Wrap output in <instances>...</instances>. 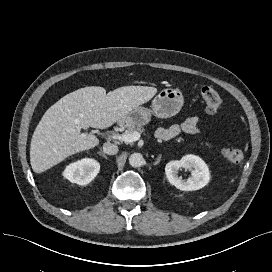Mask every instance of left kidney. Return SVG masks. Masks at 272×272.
Segmentation results:
<instances>
[{"instance_id":"1","label":"left kidney","mask_w":272,"mask_h":272,"mask_svg":"<svg viewBox=\"0 0 272 272\" xmlns=\"http://www.w3.org/2000/svg\"><path fill=\"white\" fill-rule=\"evenodd\" d=\"M180 168L189 169L192 177L182 179L178 176ZM165 174L170 184L183 191L199 190L206 186L210 180V173L206 163L198 156L188 154L181 160L170 161L165 166Z\"/></svg>"}]
</instances>
